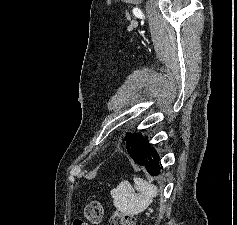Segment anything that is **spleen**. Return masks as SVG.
Listing matches in <instances>:
<instances>
[{"label":"spleen","mask_w":237,"mask_h":225,"mask_svg":"<svg viewBox=\"0 0 237 225\" xmlns=\"http://www.w3.org/2000/svg\"><path fill=\"white\" fill-rule=\"evenodd\" d=\"M133 181L134 186L127 181H122L117 188L110 191L115 208L126 215H137L143 212L158 194L157 186L144 179L135 177Z\"/></svg>","instance_id":"spleen-1"}]
</instances>
